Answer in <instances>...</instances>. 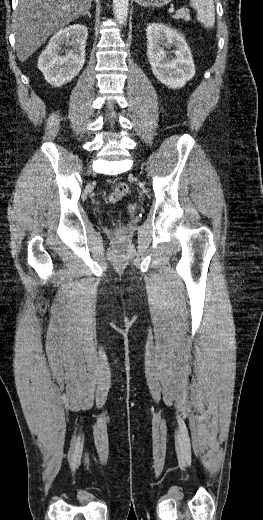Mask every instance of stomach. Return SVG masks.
Returning a JSON list of instances; mask_svg holds the SVG:
<instances>
[{"label": "stomach", "instance_id": "1", "mask_svg": "<svg viewBox=\"0 0 263 520\" xmlns=\"http://www.w3.org/2000/svg\"><path fill=\"white\" fill-rule=\"evenodd\" d=\"M138 5L143 7H162L171 2V0H135Z\"/></svg>", "mask_w": 263, "mask_h": 520}]
</instances>
